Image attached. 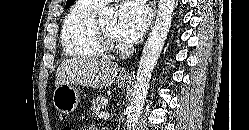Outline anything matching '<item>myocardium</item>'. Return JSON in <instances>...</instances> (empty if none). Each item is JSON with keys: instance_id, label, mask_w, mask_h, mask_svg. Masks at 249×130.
I'll list each match as a JSON object with an SVG mask.
<instances>
[{"instance_id": "myocardium-1", "label": "myocardium", "mask_w": 249, "mask_h": 130, "mask_svg": "<svg viewBox=\"0 0 249 130\" xmlns=\"http://www.w3.org/2000/svg\"><path fill=\"white\" fill-rule=\"evenodd\" d=\"M95 35L105 53H118L122 50L118 40L109 35L98 21H95Z\"/></svg>"}]
</instances>
